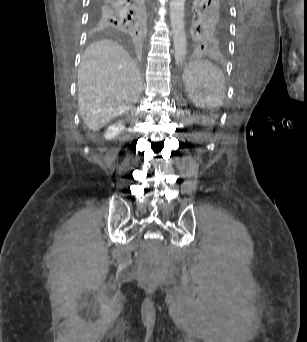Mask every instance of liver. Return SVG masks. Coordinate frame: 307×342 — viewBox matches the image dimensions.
<instances>
[{"label":"liver","mask_w":307,"mask_h":342,"mask_svg":"<svg viewBox=\"0 0 307 342\" xmlns=\"http://www.w3.org/2000/svg\"><path fill=\"white\" fill-rule=\"evenodd\" d=\"M141 90V74L122 46L100 40L86 48L78 70V106L89 130L125 114Z\"/></svg>","instance_id":"liver-1"}]
</instances>
